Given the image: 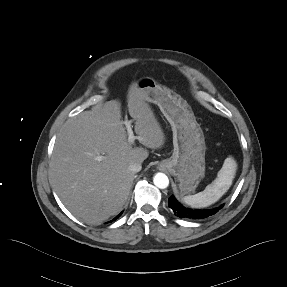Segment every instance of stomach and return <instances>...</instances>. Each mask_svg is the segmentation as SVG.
Returning a JSON list of instances; mask_svg holds the SVG:
<instances>
[{
    "label": "stomach",
    "instance_id": "1",
    "mask_svg": "<svg viewBox=\"0 0 287 287\" xmlns=\"http://www.w3.org/2000/svg\"><path fill=\"white\" fill-rule=\"evenodd\" d=\"M145 101L158 105L173 131V154L160 162L177 182L181 196L195 192L205 174V138L194 113L180 95L151 77L136 81Z\"/></svg>",
    "mask_w": 287,
    "mask_h": 287
}]
</instances>
